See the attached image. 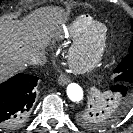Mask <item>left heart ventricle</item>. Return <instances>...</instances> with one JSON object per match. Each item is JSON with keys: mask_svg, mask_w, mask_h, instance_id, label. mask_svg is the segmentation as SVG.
I'll use <instances>...</instances> for the list:
<instances>
[{"mask_svg": "<svg viewBox=\"0 0 133 133\" xmlns=\"http://www.w3.org/2000/svg\"><path fill=\"white\" fill-rule=\"evenodd\" d=\"M99 35H100V30L98 29V30H96V31L94 32V34H93V38H92L93 43H95V42L98 40Z\"/></svg>", "mask_w": 133, "mask_h": 133, "instance_id": "obj_1", "label": "left heart ventricle"}]
</instances>
